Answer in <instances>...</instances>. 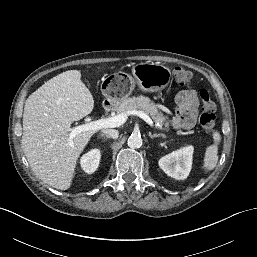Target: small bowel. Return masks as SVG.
Returning a JSON list of instances; mask_svg holds the SVG:
<instances>
[{
	"label": "small bowel",
	"mask_w": 257,
	"mask_h": 257,
	"mask_svg": "<svg viewBox=\"0 0 257 257\" xmlns=\"http://www.w3.org/2000/svg\"><path fill=\"white\" fill-rule=\"evenodd\" d=\"M178 106L175 117L171 120L174 128L189 129L195 125L199 101L195 91L182 90L176 96Z\"/></svg>",
	"instance_id": "obj_1"
}]
</instances>
